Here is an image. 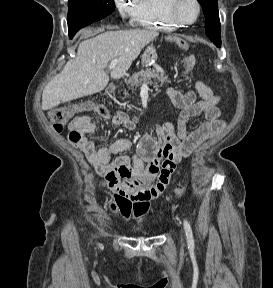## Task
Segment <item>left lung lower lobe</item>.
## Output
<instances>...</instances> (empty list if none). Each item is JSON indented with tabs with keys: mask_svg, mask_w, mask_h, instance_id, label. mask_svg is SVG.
I'll use <instances>...</instances> for the list:
<instances>
[{
	"mask_svg": "<svg viewBox=\"0 0 273 288\" xmlns=\"http://www.w3.org/2000/svg\"><path fill=\"white\" fill-rule=\"evenodd\" d=\"M217 47H220V45H221V43H217V44H215Z\"/></svg>",
	"mask_w": 273,
	"mask_h": 288,
	"instance_id": "obj_1",
	"label": "left lung lower lobe"
}]
</instances>
